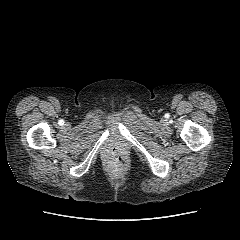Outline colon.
Masks as SVG:
<instances>
[{
	"label": "colon",
	"mask_w": 240,
	"mask_h": 240,
	"mask_svg": "<svg viewBox=\"0 0 240 240\" xmlns=\"http://www.w3.org/2000/svg\"><path fill=\"white\" fill-rule=\"evenodd\" d=\"M127 165V161L125 157L121 155L114 156L110 161L107 163V167L112 170H121L125 168Z\"/></svg>",
	"instance_id": "colon-1"
}]
</instances>
